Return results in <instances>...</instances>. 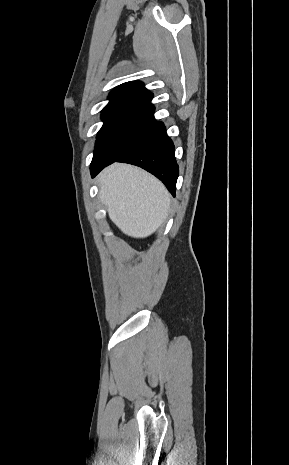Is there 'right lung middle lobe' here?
Masks as SVG:
<instances>
[{
    "mask_svg": "<svg viewBox=\"0 0 289 465\" xmlns=\"http://www.w3.org/2000/svg\"><path fill=\"white\" fill-rule=\"evenodd\" d=\"M154 107L125 104L102 110L104 122L96 140L92 162L113 161L131 148L156 122Z\"/></svg>",
    "mask_w": 289,
    "mask_h": 465,
    "instance_id": "dd1d6c3e",
    "label": "right lung middle lobe"
}]
</instances>
